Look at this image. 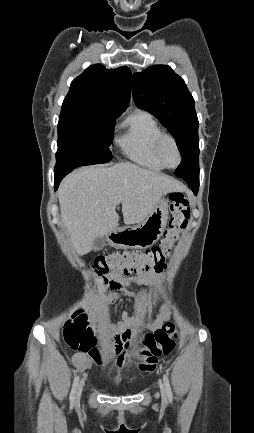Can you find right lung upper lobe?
Segmentation results:
<instances>
[{"mask_svg": "<svg viewBox=\"0 0 254 433\" xmlns=\"http://www.w3.org/2000/svg\"><path fill=\"white\" fill-rule=\"evenodd\" d=\"M130 81L131 71L126 66L108 70L101 64L92 65L72 81L62 107L93 106L117 118L128 106Z\"/></svg>", "mask_w": 254, "mask_h": 433, "instance_id": "cb5924a9", "label": "right lung upper lobe"}]
</instances>
